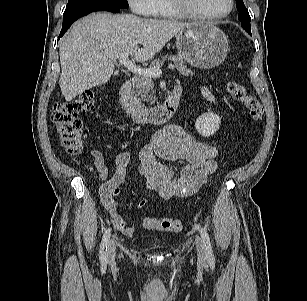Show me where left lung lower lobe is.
I'll return each mask as SVG.
<instances>
[{
	"label": "left lung lower lobe",
	"mask_w": 307,
	"mask_h": 301,
	"mask_svg": "<svg viewBox=\"0 0 307 301\" xmlns=\"http://www.w3.org/2000/svg\"><path fill=\"white\" fill-rule=\"evenodd\" d=\"M250 35H251V31L246 30Z\"/></svg>",
	"instance_id": "1"
}]
</instances>
